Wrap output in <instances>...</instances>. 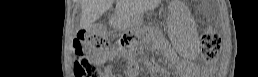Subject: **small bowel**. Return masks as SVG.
<instances>
[{
  "mask_svg": "<svg viewBox=\"0 0 258 77\" xmlns=\"http://www.w3.org/2000/svg\"><path fill=\"white\" fill-rule=\"evenodd\" d=\"M90 58L99 65H102L104 63V56L98 52H90Z\"/></svg>",
  "mask_w": 258,
  "mask_h": 77,
  "instance_id": "1",
  "label": "small bowel"
}]
</instances>
